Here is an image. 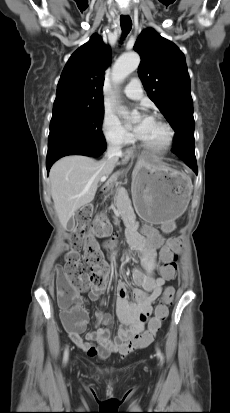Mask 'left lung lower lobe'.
Masks as SVG:
<instances>
[{
	"mask_svg": "<svg viewBox=\"0 0 230 413\" xmlns=\"http://www.w3.org/2000/svg\"><path fill=\"white\" fill-rule=\"evenodd\" d=\"M183 161H184L190 168H192V170H193L196 174H198L196 158L184 159Z\"/></svg>",
	"mask_w": 230,
	"mask_h": 413,
	"instance_id": "left-lung-lower-lobe-1",
	"label": "left lung lower lobe"
}]
</instances>
